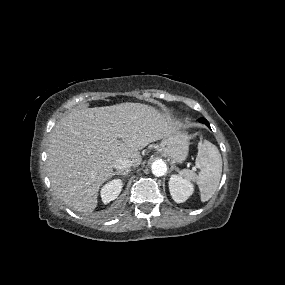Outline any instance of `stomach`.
<instances>
[{"label":"stomach","mask_w":285,"mask_h":285,"mask_svg":"<svg viewBox=\"0 0 285 285\" xmlns=\"http://www.w3.org/2000/svg\"><path fill=\"white\" fill-rule=\"evenodd\" d=\"M189 144V136L178 130L174 134L163 138L157 150L170 158L172 162L181 163L188 156Z\"/></svg>","instance_id":"1"}]
</instances>
